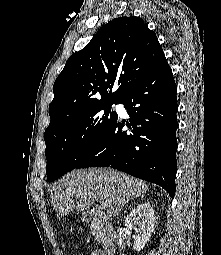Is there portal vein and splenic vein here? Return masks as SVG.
I'll return each mask as SVG.
<instances>
[{
  "label": "portal vein and splenic vein",
  "instance_id": "obj_1",
  "mask_svg": "<svg viewBox=\"0 0 221 255\" xmlns=\"http://www.w3.org/2000/svg\"><path fill=\"white\" fill-rule=\"evenodd\" d=\"M100 207H101V208H104V206H103L102 204H100Z\"/></svg>",
  "mask_w": 221,
  "mask_h": 255
}]
</instances>
